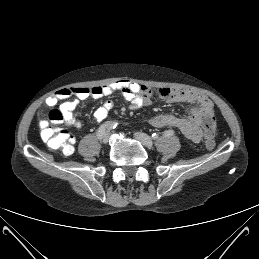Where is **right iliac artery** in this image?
<instances>
[{"mask_svg": "<svg viewBox=\"0 0 259 259\" xmlns=\"http://www.w3.org/2000/svg\"><path fill=\"white\" fill-rule=\"evenodd\" d=\"M109 123H110V122H106V123L102 124V125L99 127V129L97 130V137H98V139H101V138H102V136H103V134H104V132H105V130H106V127H107V125H108Z\"/></svg>", "mask_w": 259, "mask_h": 259, "instance_id": "right-iliac-artery-1", "label": "right iliac artery"}]
</instances>
